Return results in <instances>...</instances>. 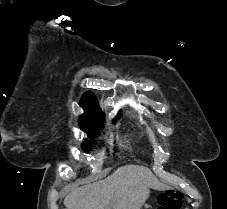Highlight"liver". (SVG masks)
<instances>
[{
    "label": "liver",
    "instance_id": "obj_1",
    "mask_svg": "<svg viewBox=\"0 0 227 209\" xmlns=\"http://www.w3.org/2000/svg\"><path fill=\"white\" fill-rule=\"evenodd\" d=\"M153 179L147 167H119L104 181L71 191L64 205L66 209H141L149 195L145 185Z\"/></svg>",
    "mask_w": 227,
    "mask_h": 209
}]
</instances>
